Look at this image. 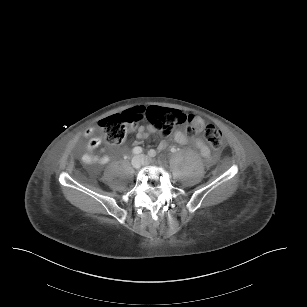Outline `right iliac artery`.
<instances>
[{
    "label": "right iliac artery",
    "instance_id": "1",
    "mask_svg": "<svg viewBox=\"0 0 307 307\" xmlns=\"http://www.w3.org/2000/svg\"><path fill=\"white\" fill-rule=\"evenodd\" d=\"M141 152H142V148L139 147V146H137V147H135V148L133 149V153H134V154H140Z\"/></svg>",
    "mask_w": 307,
    "mask_h": 307
}]
</instances>
